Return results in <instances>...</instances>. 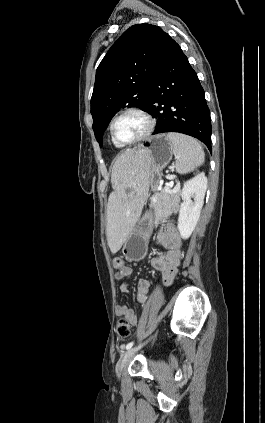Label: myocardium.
I'll list each match as a JSON object with an SVG mask.
<instances>
[{
	"label": "myocardium",
	"mask_w": 265,
	"mask_h": 423,
	"mask_svg": "<svg viewBox=\"0 0 265 423\" xmlns=\"http://www.w3.org/2000/svg\"><path fill=\"white\" fill-rule=\"evenodd\" d=\"M131 113L138 114L141 117H143L145 119L146 123H147V127H146V130L144 131V133L141 136H139L138 138H136L132 141H128V142H122V141L118 140L115 136L114 125H115V122L119 118L123 117L124 115L131 114ZM155 125H156L155 120L148 111H146L145 109L138 107V106H129V107H126V108L120 110L111 119L110 124H109V131H110V135H111L113 142H115L116 144H118L120 146H129V145L139 143V142L145 140L146 138H148L153 133V131L155 129Z\"/></svg>",
	"instance_id": "myocardium-1"
}]
</instances>
